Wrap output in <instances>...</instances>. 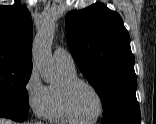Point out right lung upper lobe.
<instances>
[{
  "mask_svg": "<svg viewBox=\"0 0 156 124\" xmlns=\"http://www.w3.org/2000/svg\"><path fill=\"white\" fill-rule=\"evenodd\" d=\"M32 18L24 6H0V63L32 67Z\"/></svg>",
  "mask_w": 156,
  "mask_h": 124,
  "instance_id": "right-lung-upper-lobe-1",
  "label": "right lung upper lobe"
}]
</instances>
